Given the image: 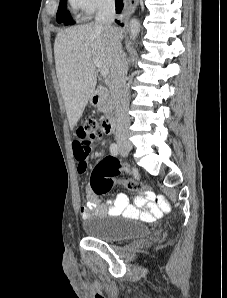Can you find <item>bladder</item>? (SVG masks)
Here are the masks:
<instances>
[{"instance_id":"31cf9c89","label":"bladder","mask_w":227,"mask_h":298,"mask_svg":"<svg viewBox=\"0 0 227 298\" xmlns=\"http://www.w3.org/2000/svg\"><path fill=\"white\" fill-rule=\"evenodd\" d=\"M83 229L88 237L108 243L136 240L150 235L149 228L141 222L130 219H108L104 216L86 221Z\"/></svg>"}]
</instances>
